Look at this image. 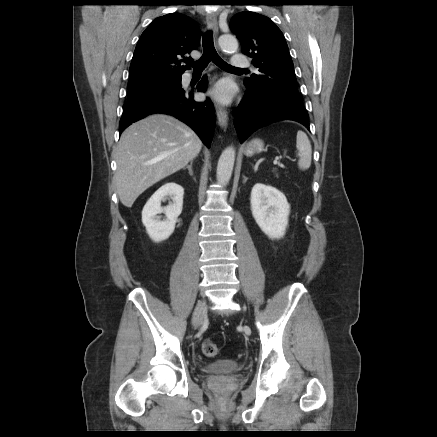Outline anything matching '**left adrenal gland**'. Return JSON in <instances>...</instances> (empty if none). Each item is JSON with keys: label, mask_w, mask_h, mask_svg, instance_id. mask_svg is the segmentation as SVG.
Here are the masks:
<instances>
[{"label": "left adrenal gland", "mask_w": 437, "mask_h": 437, "mask_svg": "<svg viewBox=\"0 0 437 437\" xmlns=\"http://www.w3.org/2000/svg\"><path fill=\"white\" fill-rule=\"evenodd\" d=\"M247 177H245L244 175H243V184H245L246 183V181H247Z\"/></svg>", "instance_id": "1"}]
</instances>
